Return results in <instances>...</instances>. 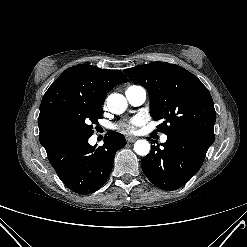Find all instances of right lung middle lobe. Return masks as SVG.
<instances>
[{
    "mask_svg": "<svg viewBox=\"0 0 247 247\" xmlns=\"http://www.w3.org/2000/svg\"><path fill=\"white\" fill-rule=\"evenodd\" d=\"M99 118H102L101 107L82 106L55 113L45 124L43 144L52 147L68 139L91 136L93 124H98Z\"/></svg>",
    "mask_w": 247,
    "mask_h": 247,
    "instance_id": "dd1d6c3e",
    "label": "right lung middle lobe"
}]
</instances>
